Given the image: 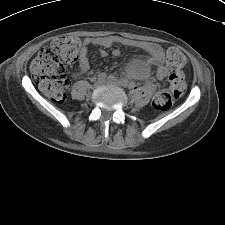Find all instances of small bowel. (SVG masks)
<instances>
[{"label": "small bowel", "instance_id": "obj_1", "mask_svg": "<svg viewBox=\"0 0 225 225\" xmlns=\"http://www.w3.org/2000/svg\"><path fill=\"white\" fill-rule=\"evenodd\" d=\"M115 43V39L111 37H102V38H84L82 41V47L79 51V67L78 71L74 73V77H78L84 73H86L89 68V60L87 55V48L92 45H98L101 47L99 54L102 57L107 56V51L105 49L111 47ZM145 52L149 55V60L146 65H156L159 66L162 64L163 60V52L162 49L154 43H144L140 46ZM114 57L120 56L121 52L119 49H114L112 52ZM145 66H134L129 70V75L132 77H141L147 75V68Z\"/></svg>", "mask_w": 225, "mask_h": 225}]
</instances>
